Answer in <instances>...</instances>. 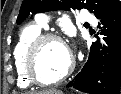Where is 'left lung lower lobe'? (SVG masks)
I'll return each instance as SVG.
<instances>
[{
  "label": "left lung lower lobe",
  "mask_w": 121,
  "mask_h": 94,
  "mask_svg": "<svg viewBox=\"0 0 121 94\" xmlns=\"http://www.w3.org/2000/svg\"><path fill=\"white\" fill-rule=\"evenodd\" d=\"M101 34L107 46L99 54L98 39L91 47L89 58L82 71L67 87L90 94H119L121 85V7L101 20ZM107 28V29H106Z\"/></svg>",
  "instance_id": "obj_1"
}]
</instances>
